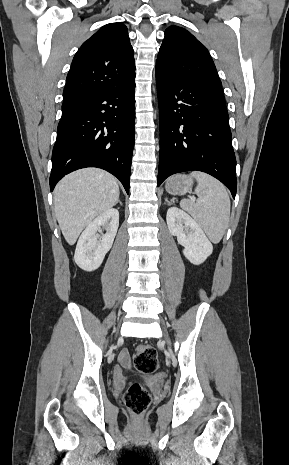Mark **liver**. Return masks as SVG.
Masks as SVG:
<instances>
[{
	"label": "liver",
	"instance_id": "obj_1",
	"mask_svg": "<svg viewBox=\"0 0 289 465\" xmlns=\"http://www.w3.org/2000/svg\"><path fill=\"white\" fill-rule=\"evenodd\" d=\"M118 199V183L106 171L87 168L64 177L55 187L54 206L67 243L75 244L82 230Z\"/></svg>",
	"mask_w": 289,
	"mask_h": 465
}]
</instances>
